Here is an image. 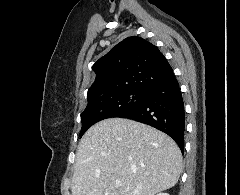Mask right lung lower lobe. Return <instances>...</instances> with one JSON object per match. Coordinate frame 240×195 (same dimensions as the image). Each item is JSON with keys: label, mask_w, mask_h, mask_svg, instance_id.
Returning a JSON list of instances; mask_svg holds the SVG:
<instances>
[{"label": "right lung lower lobe", "mask_w": 240, "mask_h": 195, "mask_svg": "<svg viewBox=\"0 0 240 195\" xmlns=\"http://www.w3.org/2000/svg\"><path fill=\"white\" fill-rule=\"evenodd\" d=\"M119 117L148 124L166 133L183 152L185 111L175 75L151 87L137 107Z\"/></svg>", "instance_id": "98d812e1"}]
</instances>
